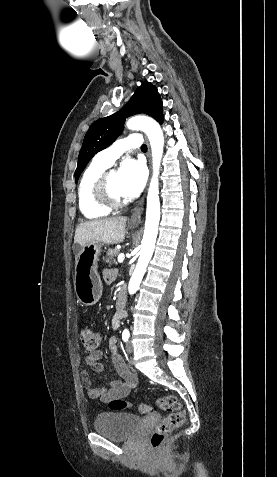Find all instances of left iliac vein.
<instances>
[{
  "label": "left iliac vein",
  "mask_w": 277,
  "mask_h": 477,
  "mask_svg": "<svg viewBox=\"0 0 277 477\" xmlns=\"http://www.w3.org/2000/svg\"><path fill=\"white\" fill-rule=\"evenodd\" d=\"M126 350H127L128 353L133 352V345L130 341H128L127 344H126Z\"/></svg>",
  "instance_id": "obj_1"
}]
</instances>
